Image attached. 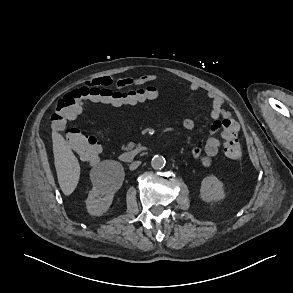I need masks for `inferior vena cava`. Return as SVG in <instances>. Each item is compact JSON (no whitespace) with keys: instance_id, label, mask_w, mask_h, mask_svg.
Here are the masks:
<instances>
[{"instance_id":"602c4592","label":"inferior vena cava","mask_w":293,"mask_h":293,"mask_svg":"<svg viewBox=\"0 0 293 293\" xmlns=\"http://www.w3.org/2000/svg\"><path fill=\"white\" fill-rule=\"evenodd\" d=\"M140 164H141L140 161H135L130 164L129 168H130V170H135Z\"/></svg>"}]
</instances>
